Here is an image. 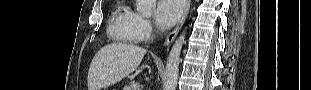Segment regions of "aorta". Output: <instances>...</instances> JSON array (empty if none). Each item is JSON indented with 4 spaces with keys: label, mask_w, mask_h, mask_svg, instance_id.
Here are the masks:
<instances>
[{
    "label": "aorta",
    "mask_w": 311,
    "mask_h": 90,
    "mask_svg": "<svg viewBox=\"0 0 311 90\" xmlns=\"http://www.w3.org/2000/svg\"><path fill=\"white\" fill-rule=\"evenodd\" d=\"M137 11L143 16H150L156 0H137ZM185 43V33L175 41L172 46L166 63V79L163 84V90H176L179 76V63L182 46Z\"/></svg>",
    "instance_id": "1"
}]
</instances>
